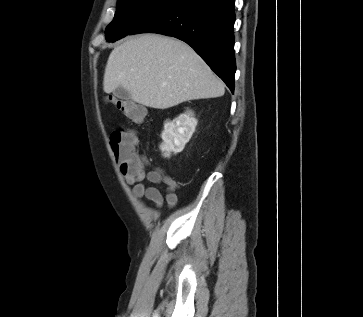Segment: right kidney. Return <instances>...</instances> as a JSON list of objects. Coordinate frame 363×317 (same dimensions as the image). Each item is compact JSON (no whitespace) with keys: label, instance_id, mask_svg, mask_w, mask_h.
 Instances as JSON below:
<instances>
[{"label":"right kidney","instance_id":"right-kidney-1","mask_svg":"<svg viewBox=\"0 0 363 317\" xmlns=\"http://www.w3.org/2000/svg\"><path fill=\"white\" fill-rule=\"evenodd\" d=\"M197 120L191 111L179 115L173 121H166L161 134L163 143L160 150L164 157L169 158L171 153H180L192 137Z\"/></svg>","mask_w":363,"mask_h":317}]
</instances>
